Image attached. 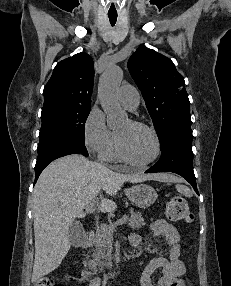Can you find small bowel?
Masks as SVG:
<instances>
[{"label": "small bowel", "mask_w": 231, "mask_h": 286, "mask_svg": "<svg viewBox=\"0 0 231 286\" xmlns=\"http://www.w3.org/2000/svg\"><path fill=\"white\" fill-rule=\"evenodd\" d=\"M150 230L154 236L165 238L170 246L169 258L157 257L152 259L141 274V286H154L151 277L158 269H161L162 276L158 279L156 286H184L181 277L185 273V265L180 259L181 246L177 229L171 223L157 219L150 224ZM130 242L132 246L138 248L142 244V237L133 234L130 236ZM87 286H100L99 278H92L87 282Z\"/></svg>", "instance_id": "small-bowel-1"}]
</instances>
